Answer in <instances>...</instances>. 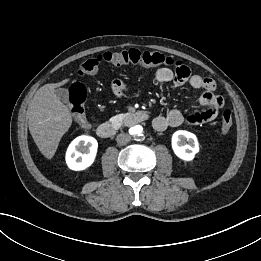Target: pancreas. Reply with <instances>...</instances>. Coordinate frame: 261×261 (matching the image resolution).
<instances>
[{"label": "pancreas", "mask_w": 261, "mask_h": 261, "mask_svg": "<svg viewBox=\"0 0 261 261\" xmlns=\"http://www.w3.org/2000/svg\"><path fill=\"white\" fill-rule=\"evenodd\" d=\"M125 117V114H118L116 116L111 117L109 121L114 127L120 128L123 124Z\"/></svg>", "instance_id": "1"}]
</instances>
